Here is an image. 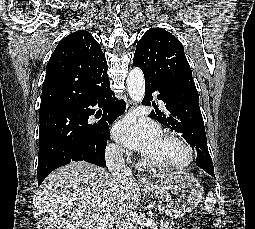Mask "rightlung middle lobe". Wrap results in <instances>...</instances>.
<instances>
[{"instance_id":"obj_1","label":"right lung middle lobe","mask_w":255,"mask_h":229,"mask_svg":"<svg viewBox=\"0 0 255 229\" xmlns=\"http://www.w3.org/2000/svg\"><path fill=\"white\" fill-rule=\"evenodd\" d=\"M104 141L88 124V118L74 111L40 119L38 167L50 170L74 157L97 158Z\"/></svg>"}]
</instances>
